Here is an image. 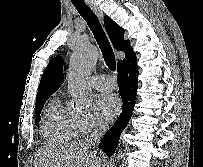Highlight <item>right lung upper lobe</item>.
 I'll return each instance as SVG.
<instances>
[{"label": "right lung upper lobe", "mask_w": 203, "mask_h": 167, "mask_svg": "<svg viewBox=\"0 0 203 167\" xmlns=\"http://www.w3.org/2000/svg\"><path fill=\"white\" fill-rule=\"evenodd\" d=\"M104 25L115 49L125 53V58L118 61V69L135 63L137 58L130 46V41L124 40V30L108 16H104ZM62 80L63 59L56 56L49 62L42 75L36 103L48 99L62 85Z\"/></svg>", "instance_id": "1"}]
</instances>
